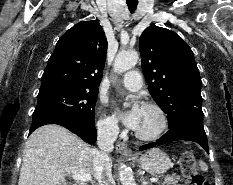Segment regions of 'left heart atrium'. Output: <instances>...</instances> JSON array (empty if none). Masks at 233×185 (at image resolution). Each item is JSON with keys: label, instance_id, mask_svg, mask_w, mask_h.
<instances>
[{"label": "left heart atrium", "instance_id": "obj_1", "mask_svg": "<svg viewBox=\"0 0 233 185\" xmlns=\"http://www.w3.org/2000/svg\"><path fill=\"white\" fill-rule=\"evenodd\" d=\"M142 113V107L138 104H133L126 111H118L122 122L130 129L136 130Z\"/></svg>", "mask_w": 233, "mask_h": 185}]
</instances>
